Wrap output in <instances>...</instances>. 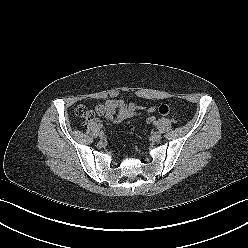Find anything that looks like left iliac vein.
<instances>
[{"label":"left iliac vein","instance_id":"1","mask_svg":"<svg viewBox=\"0 0 248 248\" xmlns=\"http://www.w3.org/2000/svg\"><path fill=\"white\" fill-rule=\"evenodd\" d=\"M161 137H162V135H161V133L159 131H155L152 134V139L154 141H160Z\"/></svg>","mask_w":248,"mask_h":248}]
</instances>
